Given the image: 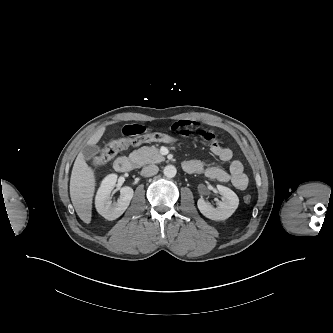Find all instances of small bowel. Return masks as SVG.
Returning <instances> with one entry per match:
<instances>
[{
  "mask_svg": "<svg viewBox=\"0 0 333 333\" xmlns=\"http://www.w3.org/2000/svg\"><path fill=\"white\" fill-rule=\"evenodd\" d=\"M123 133L130 137L140 136L148 133L151 128L141 124L124 125ZM169 131L182 136L198 135L209 142L210 151L223 162H230L229 170L218 166H207L202 161L192 159L184 162L183 167L189 173H203L210 179L220 182H231L238 190H245L248 186V176L244 172V166L239 160H232L233 152L231 149L221 146L216 134L197 122L177 121L169 128Z\"/></svg>",
  "mask_w": 333,
  "mask_h": 333,
  "instance_id": "c3829d8e",
  "label": "small bowel"
}]
</instances>
